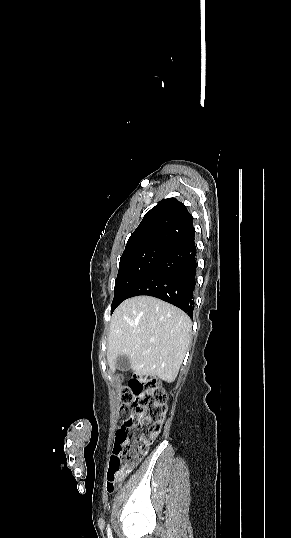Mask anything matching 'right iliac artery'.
Returning <instances> with one entry per match:
<instances>
[{
  "mask_svg": "<svg viewBox=\"0 0 291 538\" xmlns=\"http://www.w3.org/2000/svg\"><path fill=\"white\" fill-rule=\"evenodd\" d=\"M107 535H108V538H113L110 525L107 526Z\"/></svg>",
  "mask_w": 291,
  "mask_h": 538,
  "instance_id": "right-iliac-artery-1",
  "label": "right iliac artery"
}]
</instances>
